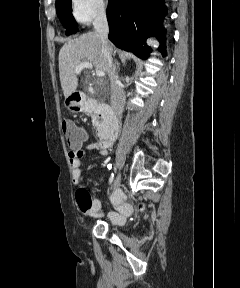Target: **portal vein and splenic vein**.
<instances>
[{
	"mask_svg": "<svg viewBox=\"0 0 240 288\" xmlns=\"http://www.w3.org/2000/svg\"><path fill=\"white\" fill-rule=\"evenodd\" d=\"M92 69L93 65L92 63L88 61L81 62L76 68H75V73L79 74L83 69ZM97 76L102 78L105 76V73L103 71H97Z\"/></svg>",
	"mask_w": 240,
	"mask_h": 288,
	"instance_id": "obj_1",
	"label": "portal vein and splenic vein"
}]
</instances>
